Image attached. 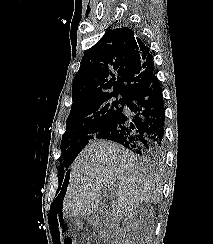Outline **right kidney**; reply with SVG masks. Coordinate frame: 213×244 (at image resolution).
<instances>
[{
	"mask_svg": "<svg viewBox=\"0 0 213 244\" xmlns=\"http://www.w3.org/2000/svg\"><path fill=\"white\" fill-rule=\"evenodd\" d=\"M142 207L135 209V211L131 214V216H138L139 211L141 210Z\"/></svg>",
	"mask_w": 213,
	"mask_h": 244,
	"instance_id": "obj_1",
	"label": "right kidney"
}]
</instances>
